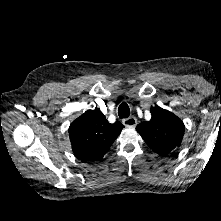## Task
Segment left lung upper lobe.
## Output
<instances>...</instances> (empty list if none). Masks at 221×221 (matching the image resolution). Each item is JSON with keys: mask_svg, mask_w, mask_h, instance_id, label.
Wrapping results in <instances>:
<instances>
[{"mask_svg": "<svg viewBox=\"0 0 221 221\" xmlns=\"http://www.w3.org/2000/svg\"><path fill=\"white\" fill-rule=\"evenodd\" d=\"M151 120L142 122L136 130L147 145L161 156H167L180 146L184 135V124L172 112L159 106L150 109Z\"/></svg>", "mask_w": 221, "mask_h": 221, "instance_id": "obj_1", "label": "left lung upper lobe"}]
</instances>
